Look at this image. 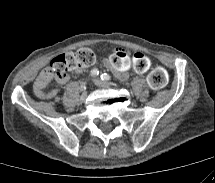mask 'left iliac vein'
I'll return each instance as SVG.
<instances>
[{
	"mask_svg": "<svg viewBox=\"0 0 215 183\" xmlns=\"http://www.w3.org/2000/svg\"><path fill=\"white\" fill-rule=\"evenodd\" d=\"M93 82L99 86V87H102V88H111L112 87V84L109 83V82H106V81H102L101 79H93Z\"/></svg>",
	"mask_w": 215,
	"mask_h": 183,
	"instance_id": "obj_1",
	"label": "left iliac vein"
}]
</instances>
